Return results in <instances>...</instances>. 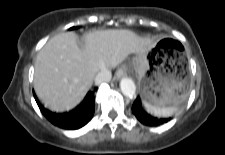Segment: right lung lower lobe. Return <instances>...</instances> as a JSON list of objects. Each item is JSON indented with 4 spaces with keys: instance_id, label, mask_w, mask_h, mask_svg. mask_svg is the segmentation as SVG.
Here are the masks:
<instances>
[{
    "instance_id": "obj_1",
    "label": "right lung lower lobe",
    "mask_w": 225,
    "mask_h": 155,
    "mask_svg": "<svg viewBox=\"0 0 225 155\" xmlns=\"http://www.w3.org/2000/svg\"><path fill=\"white\" fill-rule=\"evenodd\" d=\"M35 100L43 115L54 125L63 129H79L86 125L95 111V100L93 92H89L84 101L74 110L58 114L45 109L34 94Z\"/></svg>"
}]
</instances>
